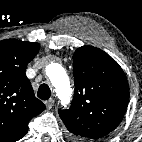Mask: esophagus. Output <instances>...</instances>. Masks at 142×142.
<instances>
[{
  "instance_id": "34e87169",
  "label": "esophagus",
  "mask_w": 142,
  "mask_h": 142,
  "mask_svg": "<svg viewBox=\"0 0 142 142\" xmlns=\"http://www.w3.org/2000/svg\"><path fill=\"white\" fill-rule=\"evenodd\" d=\"M53 104H54V99H52V98L45 102L46 108L48 110L52 108Z\"/></svg>"
}]
</instances>
